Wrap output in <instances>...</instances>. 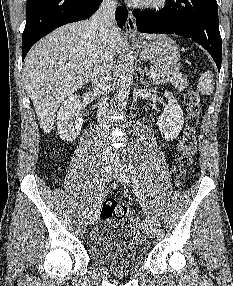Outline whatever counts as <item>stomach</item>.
I'll list each match as a JSON object with an SVG mask.
<instances>
[{"instance_id": "0dacf381", "label": "stomach", "mask_w": 233, "mask_h": 286, "mask_svg": "<svg viewBox=\"0 0 233 286\" xmlns=\"http://www.w3.org/2000/svg\"><path fill=\"white\" fill-rule=\"evenodd\" d=\"M140 57L157 66L172 67L180 59L179 46L171 38L160 35L153 42L139 43Z\"/></svg>"}]
</instances>
